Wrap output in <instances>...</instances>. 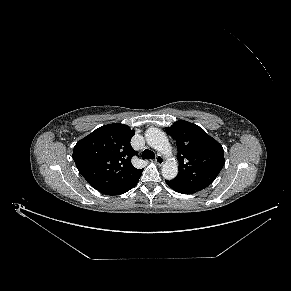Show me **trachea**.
<instances>
[{"mask_svg": "<svg viewBox=\"0 0 291 291\" xmlns=\"http://www.w3.org/2000/svg\"><path fill=\"white\" fill-rule=\"evenodd\" d=\"M155 158V154L153 151L145 149L142 153V159H154Z\"/></svg>", "mask_w": 291, "mask_h": 291, "instance_id": "trachea-1", "label": "trachea"}]
</instances>
